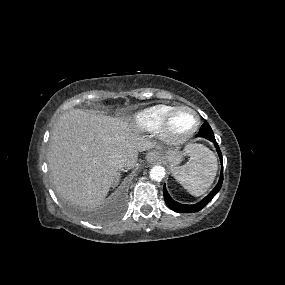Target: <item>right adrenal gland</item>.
Returning <instances> with one entry per match:
<instances>
[{
	"label": "right adrenal gland",
	"instance_id": "right-adrenal-gland-1",
	"mask_svg": "<svg viewBox=\"0 0 285 285\" xmlns=\"http://www.w3.org/2000/svg\"><path fill=\"white\" fill-rule=\"evenodd\" d=\"M120 177H121V176H120V172H118V175H117V178H116V180H115V182H114L113 188L118 185V182H119V180H120Z\"/></svg>",
	"mask_w": 285,
	"mask_h": 285
}]
</instances>
